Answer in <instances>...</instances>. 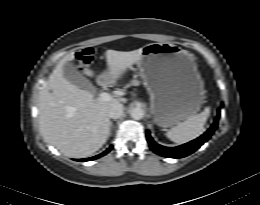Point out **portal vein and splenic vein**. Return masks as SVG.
<instances>
[{
    "label": "portal vein and splenic vein",
    "mask_w": 260,
    "mask_h": 205,
    "mask_svg": "<svg viewBox=\"0 0 260 205\" xmlns=\"http://www.w3.org/2000/svg\"><path fill=\"white\" fill-rule=\"evenodd\" d=\"M110 100H112V96L107 92H102L98 98V101L100 102H108Z\"/></svg>",
    "instance_id": "portal-vein-and-splenic-vein-1"
}]
</instances>
